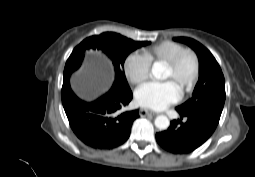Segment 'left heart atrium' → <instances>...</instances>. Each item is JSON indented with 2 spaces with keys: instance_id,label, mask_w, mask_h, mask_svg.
<instances>
[{
  "instance_id": "obj_1",
  "label": "left heart atrium",
  "mask_w": 255,
  "mask_h": 177,
  "mask_svg": "<svg viewBox=\"0 0 255 177\" xmlns=\"http://www.w3.org/2000/svg\"><path fill=\"white\" fill-rule=\"evenodd\" d=\"M180 92L171 81L147 82L135 93L136 102L146 108L162 110L179 100Z\"/></svg>"
}]
</instances>
